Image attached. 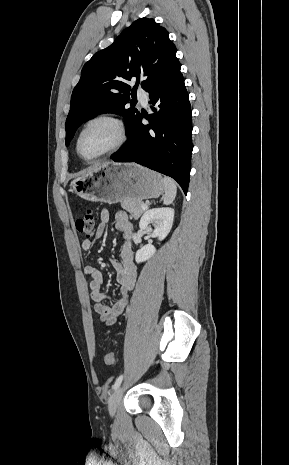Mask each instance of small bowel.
<instances>
[{
    "instance_id": "small-bowel-1",
    "label": "small bowel",
    "mask_w": 289,
    "mask_h": 465,
    "mask_svg": "<svg viewBox=\"0 0 289 465\" xmlns=\"http://www.w3.org/2000/svg\"><path fill=\"white\" fill-rule=\"evenodd\" d=\"M115 227L125 238L121 246L119 261H113L116 270L117 282L119 283V298L110 304L105 303L108 296L103 292L104 278L101 272L92 265L84 268L85 274L90 278V296L94 301V310L99 315L102 322L112 325L126 308L131 291L134 289L137 279V267L134 262V252L131 243L133 235V225L128 216L123 211H118L114 215ZM110 213L107 209L100 212V223L95 232V238L100 239L105 234ZM92 247L90 239H84L81 244L83 251H89Z\"/></svg>"
}]
</instances>
